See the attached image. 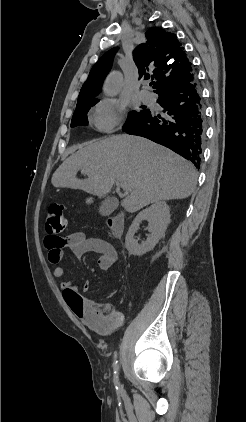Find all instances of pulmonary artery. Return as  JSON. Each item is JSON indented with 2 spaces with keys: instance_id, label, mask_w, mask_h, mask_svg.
<instances>
[{
  "instance_id": "obj_1",
  "label": "pulmonary artery",
  "mask_w": 246,
  "mask_h": 422,
  "mask_svg": "<svg viewBox=\"0 0 246 422\" xmlns=\"http://www.w3.org/2000/svg\"><path fill=\"white\" fill-rule=\"evenodd\" d=\"M139 98L141 99V101H143L145 103H150L152 101L151 93L146 91V90H141L139 92Z\"/></svg>"
}]
</instances>
